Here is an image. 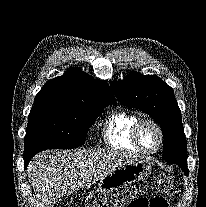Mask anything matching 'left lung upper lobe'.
Wrapping results in <instances>:
<instances>
[{
    "instance_id": "left-lung-upper-lobe-1",
    "label": "left lung upper lobe",
    "mask_w": 206,
    "mask_h": 207,
    "mask_svg": "<svg viewBox=\"0 0 206 207\" xmlns=\"http://www.w3.org/2000/svg\"><path fill=\"white\" fill-rule=\"evenodd\" d=\"M110 85L122 105L149 114L161 125L164 159L178 164L188 175L187 141L173 89L155 75L134 71Z\"/></svg>"
}]
</instances>
